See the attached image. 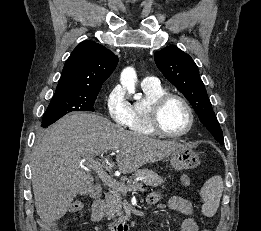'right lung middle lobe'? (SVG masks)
I'll use <instances>...</instances> for the list:
<instances>
[{"label": "right lung middle lobe", "instance_id": "obj_1", "mask_svg": "<svg viewBox=\"0 0 261 231\" xmlns=\"http://www.w3.org/2000/svg\"><path fill=\"white\" fill-rule=\"evenodd\" d=\"M100 90L56 91L43 116L42 127H47L72 111H94Z\"/></svg>", "mask_w": 261, "mask_h": 231}]
</instances>
